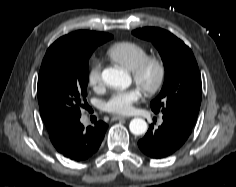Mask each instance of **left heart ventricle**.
I'll return each instance as SVG.
<instances>
[{"mask_svg": "<svg viewBox=\"0 0 236 187\" xmlns=\"http://www.w3.org/2000/svg\"><path fill=\"white\" fill-rule=\"evenodd\" d=\"M155 78H156V72L153 68H151L147 71L144 81L146 84H151L154 82Z\"/></svg>", "mask_w": 236, "mask_h": 187, "instance_id": "left-heart-ventricle-1", "label": "left heart ventricle"}]
</instances>
